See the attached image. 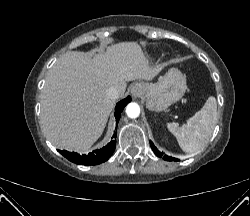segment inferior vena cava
Returning <instances> with one entry per match:
<instances>
[{
    "mask_svg": "<svg viewBox=\"0 0 250 216\" xmlns=\"http://www.w3.org/2000/svg\"><path fill=\"white\" fill-rule=\"evenodd\" d=\"M120 90L116 87H111L107 90L106 95L111 99H117L120 97Z\"/></svg>",
    "mask_w": 250,
    "mask_h": 216,
    "instance_id": "obj_1",
    "label": "inferior vena cava"
}]
</instances>
